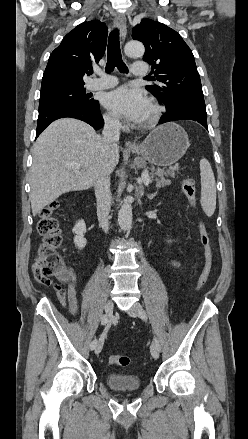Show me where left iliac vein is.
<instances>
[{
  "instance_id": "obj_1",
  "label": "left iliac vein",
  "mask_w": 248,
  "mask_h": 439,
  "mask_svg": "<svg viewBox=\"0 0 248 439\" xmlns=\"http://www.w3.org/2000/svg\"><path fill=\"white\" fill-rule=\"evenodd\" d=\"M129 314L131 316L134 317H139L141 319H146V315L143 311L142 306L139 303H134L133 306L131 307V309L129 310ZM150 352L151 355L154 359H158L159 358V346L157 345V343L155 341L152 342L151 346H150Z\"/></svg>"
}]
</instances>
